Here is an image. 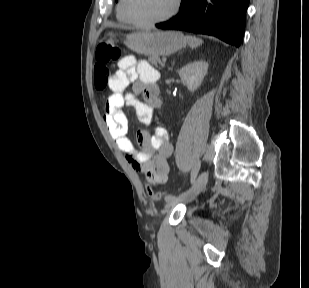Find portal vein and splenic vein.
<instances>
[{"instance_id":"portal-vein-and-splenic-vein-1","label":"portal vein and splenic vein","mask_w":309,"mask_h":288,"mask_svg":"<svg viewBox=\"0 0 309 288\" xmlns=\"http://www.w3.org/2000/svg\"><path fill=\"white\" fill-rule=\"evenodd\" d=\"M165 62H166V59H163L162 66H164V65H165Z\"/></svg>"}]
</instances>
